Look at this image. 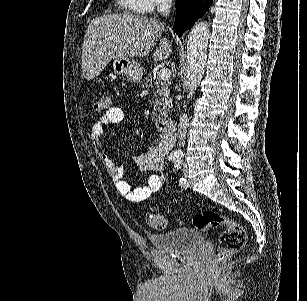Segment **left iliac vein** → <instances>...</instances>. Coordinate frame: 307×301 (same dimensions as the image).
Listing matches in <instances>:
<instances>
[{"instance_id": "left-iliac-vein-1", "label": "left iliac vein", "mask_w": 307, "mask_h": 301, "mask_svg": "<svg viewBox=\"0 0 307 301\" xmlns=\"http://www.w3.org/2000/svg\"><path fill=\"white\" fill-rule=\"evenodd\" d=\"M183 174H184L185 177H188V175H189L187 164L183 165Z\"/></svg>"}]
</instances>
